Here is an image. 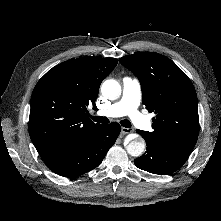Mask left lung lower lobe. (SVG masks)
<instances>
[{
  "instance_id": "0a47b994",
  "label": "left lung lower lobe",
  "mask_w": 221,
  "mask_h": 221,
  "mask_svg": "<svg viewBox=\"0 0 221 221\" xmlns=\"http://www.w3.org/2000/svg\"><path fill=\"white\" fill-rule=\"evenodd\" d=\"M142 136L141 130H137ZM144 155L134 160V164L153 174L167 175L178 170L188 159L190 153L169 148L155 142H146Z\"/></svg>"
}]
</instances>
